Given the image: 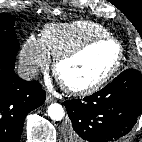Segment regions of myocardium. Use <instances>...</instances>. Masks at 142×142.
Returning <instances> with one entry per match:
<instances>
[{
  "mask_svg": "<svg viewBox=\"0 0 142 142\" xmlns=\"http://www.w3.org/2000/svg\"><path fill=\"white\" fill-rule=\"evenodd\" d=\"M103 42H112L117 47V57H116L113 65L110 67V69L104 75H102L99 79H97L93 83L86 85V86L75 87V86H71V85L65 83L62 80L61 74H60L61 66L64 63L71 61V60L75 59L76 57L84 54L86 51H88L93 46L103 43ZM123 55H124L123 47H122L121 43L116 38H114L110 35H103V36L95 37V38L87 40L86 42L82 43L78 47L57 57L54 61L53 73H54L55 77L59 80V82L61 83L63 88L66 91L70 92L71 94L80 95V96L90 95V94L98 91L99 89H101L116 74V72L119 70V68L122 64Z\"/></svg>",
  "mask_w": 142,
  "mask_h": 142,
  "instance_id": "myocardium-1",
  "label": "myocardium"
}]
</instances>
